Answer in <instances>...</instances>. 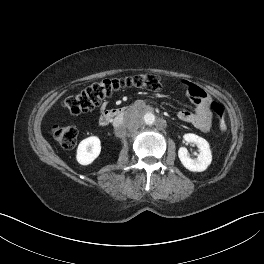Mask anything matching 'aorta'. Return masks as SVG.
<instances>
[{
    "label": "aorta",
    "instance_id": "1",
    "mask_svg": "<svg viewBox=\"0 0 264 264\" xmlns=\"http://www.w3.org/2000/svg\"><path fill=\"white\" fill-rule=\"evenodd\" d=\"M143 121L147 125H152L155 122V115L153 113H146L143 116Z\"/></svg>",
    "mask_w": 264,
    "mask_h": 264
}]
</instances>
